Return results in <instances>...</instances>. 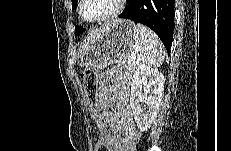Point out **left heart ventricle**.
I'll return each mask as SVG.
<instances>
[{"mask_svg":"<svg viewBox=\"0 0 231 151\" xmlns=\"http://www.w3.org/2000/svg\"><path fill=\"white\" fill-rule=\"evenodd\" d=\"M117 0H86L84 5V16L92 19L100 17L115 8Z\"/></svg>","mask_w":231,"mask_h":151,"instance_id":"obj_1","label":"left heart ventricle"}]
</instances>
